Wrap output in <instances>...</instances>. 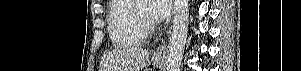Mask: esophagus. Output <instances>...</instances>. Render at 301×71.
Returning a JSON list of instances; mask_svg holds the SVG:
<instances>
[{
	"instance_id": "1",
	"label": "esophagus",
	"mask_w": 301,
	"mask_h": 71,
	"mask_svg": "<svg viewBox=\"0 0 301 71\" xmlns=\"http://www.w3.org/2000/svg\"><path fill=\"white\" fill-rule=\"evenodd\" d=\"M170 30L168 31V35ZM167 53V41L164 40L161 45H159L156 50L153 52V57L155 59H163Z\"/></svg>"
}]
</instances>
